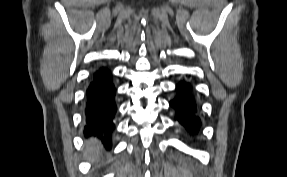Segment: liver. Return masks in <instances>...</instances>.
Here are the masks:
<instances>
[{"mask_svg":"<svg viewBox=\"0 0 287 177\" xmlns=\"http://www.w3.org/2000/svg\"><path fill=\"white\" fill-rule=\"evenodd\" d=\"M100 150H101V146L98 143V140L96 139H91L88 143H87V148L85 151V158L87 160H91L94 162L99 161L100 159Z\"/></svg>","mask_w":287,"mask_h":177,"instance_id":"1","label":"liver"}]
</instances>
